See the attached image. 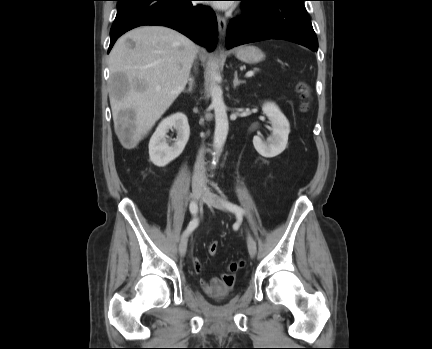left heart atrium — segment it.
Returning a JSON list of instances; mask_svg holds the SVG:
<instances>
[{"label":"left heart atrium","mask_w":432,"mask_h":349,"mask_svg":"<svg viewBox=\"0 0 432 349\" xmlns=\"http://www.w3.org/2000/svg\"><path fill=\"white\" fill-rule=\"evenodd\" d=\"M217 7L225 9L229 6V4H227V2H220L218 4H216Z\"/></svg>","instance_id":"left-heart-atrium-1"}]
</instances>
